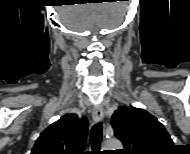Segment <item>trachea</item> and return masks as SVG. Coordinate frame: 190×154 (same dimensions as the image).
I'll return each instance as SVG.
<instances>
[{
    "label": "trachea",
    "instance_id": "1",
    "mask_svg": "<svg viewBox=\"0 0 190 154\" xmlns=\"http://www.w3.org/2000/svg\"><path fill=\"white\" fill-rule=\"evenodd\" d=\"M102 135H103L102 124L101 122H98L92 127L90 134L92 154H99L101 152L100 146L102 141Z\"/></svg>",
    "mask_w": 190,
    "mask_h": 154
}]
</instances>
